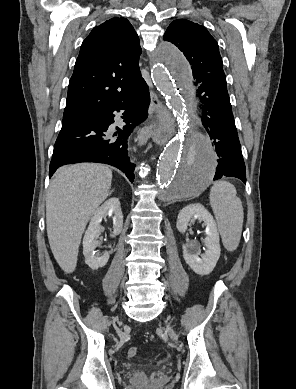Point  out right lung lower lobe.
Returning <instances> with one entry per match:
<instances>
[{"instance_id": "right-lung-lower-lobe-1", "label": "right lung lower lobe", "mask_w": 296, "mask_h": 389, "mask_svg": "<svg viewBox=\"0 0 296 389\" xmlns=\"http://www.w3.org/2000/svg\"><path fill=\"white\" fill-rule=\"evenodd\" d=\"M149 103V89L140 74L120 103L60 131L54 145L49 176L62 165L98 162L115 166L133 182L135 166L128 157V140L133 129L146 120ZM120 110H125L122 118L126 125L117 127V132L110 136L107 130L114 122L113 112Z\"/></svg>"}]
</instances>
